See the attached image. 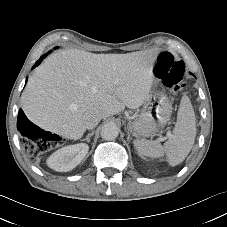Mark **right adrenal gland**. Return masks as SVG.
Segmentation results:
<instances>
[{
  "label": "right adrenal gland",
  "mask_w": 227,
  "mask_h": 227,
  "mask_svg": "<svg viewBox=\"0 0 227 227\" xmlns=\"http://www.w3.org/2000/svg\"><path fill=\"white\" fill-rule=\"evenodd\" d=\"M93 135V132L92 133H89L85 139H82L81 141H87V142H90V137Z\"/></svg>",
  "instance_id": "2a0ac1e0"
}]
</instances>
